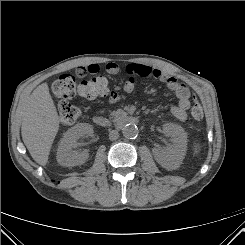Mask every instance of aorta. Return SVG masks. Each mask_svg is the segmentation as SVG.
<instances>
[{"label": "aorta", "mask_w": 245, "mask_h": 245, "mask_svg": "<svg viewBox=\"0 0 245 245\" xmlns=\"http://www.w3.org/2000/svg\"><path fill=\"white\" fill-rule=\"evenodd\" d=\"M122 133L125 138L133 139L138 135V128L133 124H126L122 127Z\"/></svg>", "instance_id": "1"}]
</instances>
